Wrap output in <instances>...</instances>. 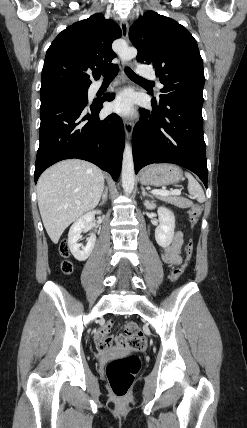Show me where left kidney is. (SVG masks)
I'll use <instances>...</instances> for the list:
<instances>
[{
	"mask_svg": "<svg viewBox=\"0 0 247 428\" xmlns=\"http://www.w3.org/2000/svg\"><path fill=\"white\" fill-rule=\"evenodd\" d=\"M147 209H154L156 205L145 201ZM159 226L155 229V239L159 246L167 247L173 240L175 229V216L172 211L165 207L158 208Z\"/></svg>",
	"mask_w": 247,
	"mask_h": 428,
	"instance_id": "left-kidney-1",
	"label": "left kidney"
}]
</instances>
